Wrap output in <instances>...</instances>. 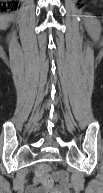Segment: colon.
<instances>
[{
    "instance_id": "obj_1",
    "label": "colon",
    "mask_w": 103,
    "mask_h": 193,
    "mask_svg": "<svg viewBox=\"0 0 103 193\" xmlns=\"http://www.w3.org/2000/svg\"><path fill=\"white\" fill-rule=\"evenodd\" d=\"M60 174L53 175L49 166L46 164H42L37 167L36 175L42 181L45 187L52 188L56 181L60 178Z\"/></svg>"
}]
</instances>
